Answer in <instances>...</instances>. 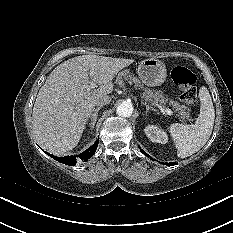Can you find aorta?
Returning <instances> with one entry per match:
<instances>
[{
	"instance_id": "aorta-1",
	"label": "aorta",
	"mask_w": 233,
	"mask_h": 233,
	"mask_svg": "<svg viewBox=\"0 0 233 233\" xmlns=\"http://www.w3.org/2000/svg\"><path fill=\"white\" fill-rule=\"evenodd\" d=\"M116 113L120 117H130L133 113V105L129 101H123L116 109Z\"/></svg>"
}]
</instances>
